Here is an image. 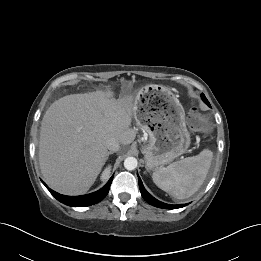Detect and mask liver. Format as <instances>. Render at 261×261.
Returning a JSON list of instances; mask_svg holds the SVG:
<instances>
[{
  "mask_svg": "<svg viewBox=\"0 0 261 261\" xmlns=\"http://www.w3.org/2000/svg\"><path fill=\"white\" fill-rule=\"evenodd\" d=\"M110 97L109 91L71 94L47 109L41 122L39 163L53 190L66 195L86 193L107 160L106 140L114 137L122 145L134 141L133 98Z\"/></svg>",
  "mask_w": 261,
  "mask_h": 261,
  "instance_id": "1",
  "label": "liver"
}]
</instances>
